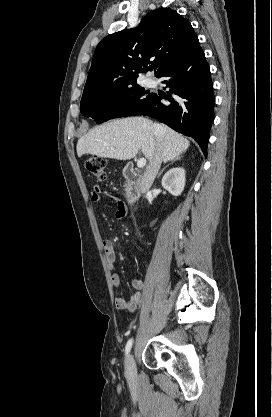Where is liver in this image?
<instances>
[{"instance_id":"6515ba94","label":"liver","mask_w":272,"mask_h":417,"mask_svg":"<svg viewBox=\"0 0 272 417\" xmlns=\"http://www.w3.org/2000/svg\"><path fill=\"white\" fill-rule=\"evenodd\" d=\"M151 120L129 117L104 123L90 130L77 142V155L91 154L117 160L134 158L141 150L151 162L157 149V137L162 139V161L179 157L189 148V141L163 124L157 132Z\"/></svg>"}]
</instances>
